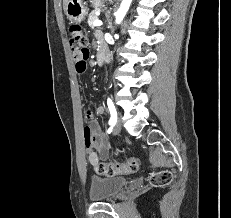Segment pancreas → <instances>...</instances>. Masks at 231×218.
I'll list each match as a JSON object with an SVG mask.
<instances>
[{
  "label": "pancreas",
  "mask_w": 231,
  "mask_h": 218,
  "mask_svg": "<svg viewBox=\"0 0 231 218\" xmlns=\"http://www.w3.org/2000/svg\"><path fill=\"white\" fill-rule=\"evenodd\" d=\"M100 11L99 9H95L93 10L90 14H89V18H88V24L91 28H94L95 26L93 25V22L95 20H98V16L96 15V12Z\"/></svg>",
  "instance_id": "pancreas-1"
}]
</instances>
